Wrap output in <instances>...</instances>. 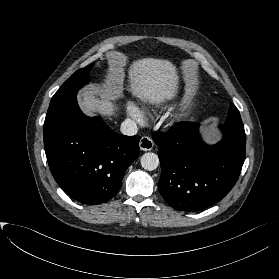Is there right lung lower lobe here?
Instances as JSON below:
<instances>
[{
    "mask_svg": "<svg viewBox=\"0 0 279 279\" xmlns=\"http://www.w3.org/2000/svg\"><path fill=\"white\" fill-rule=\"evenodd\" d=\"M44 146L58 185L74 200L102 204L121 186L127 167L139 155L140 136L115 133L101 117H88L75 100L45 121Z\"/></svg>",
    "mask_w": 279,
    "mask_h": 279,
    "instance_id": "right-lung-lower-lobe-1",
    "label": "right lung lower lobe"
}]
</instances>
